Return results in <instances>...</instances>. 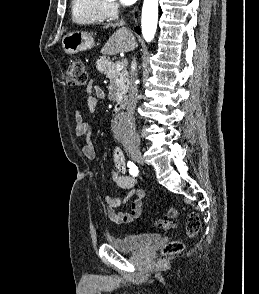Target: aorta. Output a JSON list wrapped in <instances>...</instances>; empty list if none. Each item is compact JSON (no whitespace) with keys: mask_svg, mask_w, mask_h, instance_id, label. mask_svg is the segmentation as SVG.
<instances>
[{"mask_svg":"<svg viewBox=\"0 0 259 294\" xmlns=\"http://www.w3.org/2000/svg\"><path fill=\"white\" fill-rule=\"evenodd\" d=\"M158 20V0H144L142 8V34L146 42H151L155 36ZM133 128V120L125 114L119 115L115 129L119 134H129Z\"/></svg>","mask_w":259,"mask_h":294,"instance_id":"1","label":"aorta"}]
</instances>
